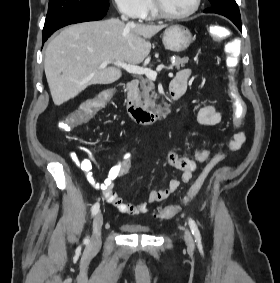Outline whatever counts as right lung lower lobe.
I'll list each match as a JSON object with an SVG mask.
<instances>
[{
  "label": "right lung lower lobe",
  "instance_id": "1",
  "mask_svg": "<svg viewBox=\"0 0 280 283\" xmlns=\"http://www.w3.org/2000/svg\"><path fill=\"white\" fill-rule=\"evenodd\" d=\"M104 16H72V15H65L60 17H55L45 21L42 41L45 42L52 33H54L59 28H62L69 24H75L80 22L86 21H96L102 19Z\"/></svg>",
  "mask_w": 280,
  "mask_h": 283
}]
</instances>
